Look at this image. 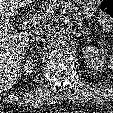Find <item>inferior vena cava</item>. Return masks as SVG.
Returning <instances> with one entry per match:
<instances>
[{
  "instance_id": "1",
  "label": "inferior vena cava",
  "mask_w": 113,
  "mask_h": 113,
  "mask_svg": "<svg viewBox=\"0 0 113 113\" xmlns=\"http://www.w3.org/2000/svg\"><path fill=\"white\" fill-rule=\"evenodd\" d=\"M50 28L49 24H42L33 29V33L36 35H43Z\"/></svg>"
}]
</instances>
